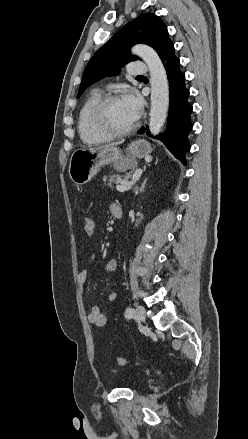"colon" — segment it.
<instances>
[{
	"label": "colon",
	"instance_id": "obj_1",
	"mask_svg": "<svg viewBox=\"0 0 248 439\" xmlns=\"http://www.w3.org/2000/svg\"><path fill=\"white\" fill-rule=\"evenodd\" d=\"M83 229L87 235H91L94 230V222L90 217H85L83 220ZM116 363L119 366H124L126 364V359L123 357H117Z\"/></svg>",
	"mask_w": 248,
	"mask_h": 439
}]
</instances>
